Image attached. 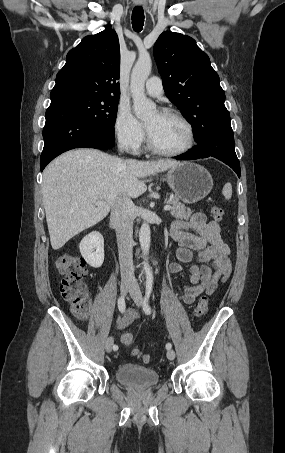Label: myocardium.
<instances>
[{
  "label": "myocardium",
  "mask_w": 285,
  "mask_h": 453,
  "mask_svg": "<svg viewBox=\"0 0 285 453\" xmlns=\"http://www.w3.org/2000/svg\"><path fill=\"white\" fill-rule=\"evenodd\" d=\"M159 114L163 116H169V117H174L178 120H180L187 128L189 139L188 143L185 147L179 150H165L160 147H158L153 139L151 138L147 128H146V141H147V147L150 151H152L155 154L162 155V156H168V157H177V156H182L186 153H188L195 145L196 142V136H195V130L192 125V123L180 112L173 110V109H162L158 112Z\"/></svg>",
  "instance_id": "obj_1"
}]
</instances>
